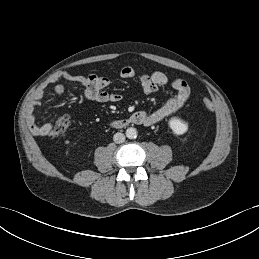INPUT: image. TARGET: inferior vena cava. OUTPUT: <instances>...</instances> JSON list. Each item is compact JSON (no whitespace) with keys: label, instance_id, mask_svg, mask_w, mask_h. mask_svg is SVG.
<instances>
[{"label":"inferior vena cava","instance_id":"1","mask_svg":"<svg viewBox=\"0 0 259 259\" xmlns=\"http://www.w3.org/2000/svg\"><path fill=\"white\" fill-rule=\"evenodd\" d=\"M113 140L117 144L123 143L125 141V135L123 133L118 132L114 134Z\"/></svg>","mask_w":259,"mask_h":259}]
</instances>
